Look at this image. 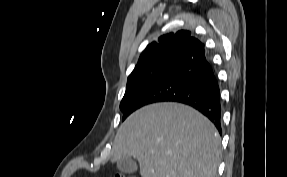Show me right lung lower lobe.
<instances>
[{"label": "right lung lower lobe", "instance_id": "98d812e1", "mask_svg": "<svg viewBox=\"0 0 287 177\" xmlns=\"http://www.w3.org/2000/svg\"><path fill=\"white\" fill-rule=\"evenodd\" d=\"M164 101L192 106L208 117L221 133L220 89L204 45L196 57L179 63L153 81L127 108L124 116L144 105Z\"/></svg>", "mask_w": 287, "mask_h": 177}]
</instances>
